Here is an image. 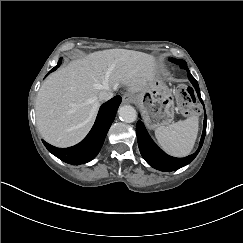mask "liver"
<instances>
[{
    "mask_svg": "<svg viewBox=\"0 0 243 243\" xmlns=\"http://www.w3.org/2000/svg\"><path fill=\"white\" fill-rule=\"evenodd\" d=\"M153 71L150 55L124 49L96 52L61 68L42 84L36 97L41 135L59 147L79 142L93 124L101 90L125 84L132 94L145 92L156 80Z\"/></svg>",
    "mask_w": 243,
    "mask_h": 243,
    "instance_id": "obj_1",
    "label": "liver"
}]
</instances>
